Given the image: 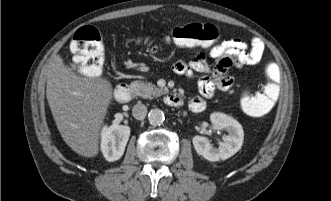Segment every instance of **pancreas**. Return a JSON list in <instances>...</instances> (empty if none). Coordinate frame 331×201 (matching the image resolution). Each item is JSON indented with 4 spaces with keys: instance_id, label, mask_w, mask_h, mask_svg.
Returning <instances> with one entry per match:
<instances>
[{
    "instance_id": "1",
    "label": "pancreas",
    "mask_w": 331,
    "mask_h": 201,
    "mask_svg": "<svg viewBox=\"0 0 331 201\" xmlns=\"http://www.w3.org/2000/svg\"><path fill=\"white\" fill-rule=\"evenodd\" d=\"M130 86L134 90L135 95L143 98L153 99L154 97L161 96L165 92L164 89L158 88L152 83H144L137 80L133 81Z\"/></svg>"
}]
</instances>
